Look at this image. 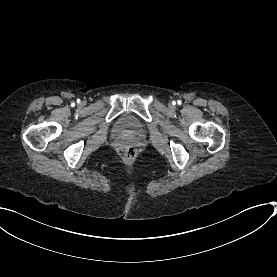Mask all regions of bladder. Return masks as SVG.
I'll use <instances>...</instances> for the list:
<instances>
[{
    "mask_svg": "<svg viewBox=\"0 0 277 277\" xmlns=\"http://www.w3.org/2000/svg\"><path fill=\"white\" fill-rule=\"evenodd\" d=\"M116 133L121 136L141 137L146 128L134 113L127 112L119 117L115 124Z\"/></svg>",
    "mask_w": 277,
    "mask_h": 277,
    "instance_id": "1",
    "label": "bladder"
}]
</instances>
